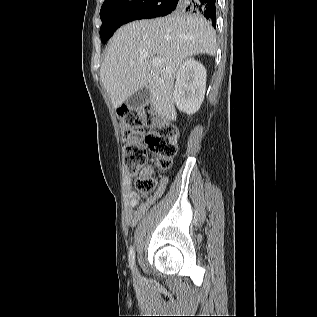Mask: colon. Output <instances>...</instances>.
<instances>
[{"mask_svg":"<svg viewBox=\"0 0 317 317\" xmlns=\"http://www.w3.org/2000/svg\"><path fill=\"white\" fill-rule=\"evenodd\" d=\"M120 118L124 164L131 175H137L145 168L148 152L155 156L158 166L170 167L178 150L179 131L171 123L156 118L150 106L118 109ZM136 189L149 195L156 187L150 177L139 176L135 180Z\"/></svg>","mask_w":317,"mask_h":317,"instance_id":"1","label":"colon"}]
</instances>
